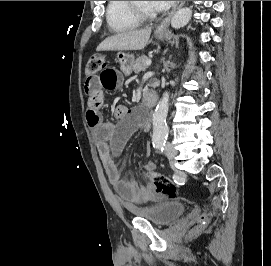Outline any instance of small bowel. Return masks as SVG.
I'll use <instances>...</instances> for the list:
<instances>
[{
    "label": "small bowel",
    "mask_w": 271,
    "mask_h": 266,
    "mask_svg": "<svg viewBox=\"0 0 271 266\" xmlns=\"http://www.w3.org/2000/svg\"><path fill=\"white\" fill-rule=\"evenodd\" d=\"M123 75L118 66L105 64L98 74L88 76L85 93L88 96L86 120L102 150V162L107 178L119 197L128 207L149 205L162 201L163 195L152 185L141 186L134 179H123L114 156L121 152L125 143L138 128L144 125L140 110L128 109L124 105L115 108L117 124L105 122L100 113L103 90H115L122 83ZM145 169L154 171L155 166L147 163Z\"/></svg>",
    "instance_id": "obj_1"
}]
</instances>
